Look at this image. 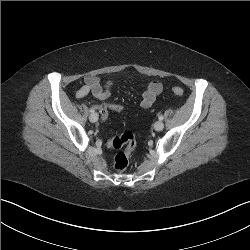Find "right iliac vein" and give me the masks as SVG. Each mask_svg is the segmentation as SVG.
Returning <instances> with one entry per match:
<instances>
[{"label": "right iliac vein", "instance_id": "1", "mask_svg": "<svg viewBox=\"0 0 250 250\" xmlns=\"http://www.w3.org/2000/svg\"><path fill=\"white\" fill-rule=\"evenodd\" d=\"M89 120L91 122H97L98 121V114L97 113H92L90 116H89Z\"/></svg>", "mask_w": 250, "mask_h": 250}]
</instances>
